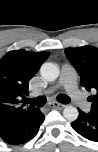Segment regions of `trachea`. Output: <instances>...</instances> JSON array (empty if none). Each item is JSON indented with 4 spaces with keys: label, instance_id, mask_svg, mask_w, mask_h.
I'll return each instance as SVG.
<instances>
[{
    "label": "trachea",
    "instance_id": "1",
    "mask_svg": "<svg viewBox=\"0 0 98 152\" xmlns=\"http://www.w3.org/2000/svg\"><path fill=\"white\" fill-rule=\"evenodd\" d=\"M57 101L63 104H68L71 102L70 98L67 95L64 94H59L57 96ZM26 103H29L31 105H35L37 107H42L46 104L47 99L44 96H38L36 98H32V99H25Z\"/></svg>",
    "mask_w": 98,
    "mask_h": 152
}]
</instances>
